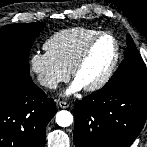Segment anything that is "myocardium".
I'll return each instance as SVG.
<instances>
[{
  "label": "myocardium",
  "instance_id": "obj_1",
  "mask_svg": "<svg viewBox=\"0 0 147 147\" xmlns=\"http://www.w3.org/2000/svg\"><path fill=\"white\" fill-rule=\"evenodd\" d=\"M105 36L110 37L114 42V46H115L114 57L112 59V62L110 64L109 68L107 69L105 74L98 81H96L95 83H93L89 86L83 87L88 92H94V91L100 90L110 81V79L114 75L116 68H117V65L119 63V60H120V55H121L120 44H119L117 38L111 32L99 31L96 35H94L91 39L88 40V42L85 44V46L81 50L80 54L76 58L75 62L72 65V68H71V75L74 79H76V75H77L79 69L82 67V65L87 60L95 43L100 38L105 37Z\"/></svg>",
  "mask_w": 147,
  "mask_h": 147
}]
</instances>
